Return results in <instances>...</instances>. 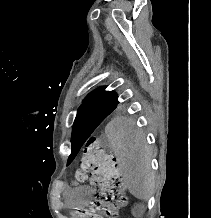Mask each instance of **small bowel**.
I'll list each match as a JSON object with an SVG mask.
<instances>
[{"mask_svg":"<svg viewBox=\"0 0 211 218\" xmlns=\"http://www.w3.org/2000/svg\"><path fill=\"white\" fill-rule=\"evenodd\" d=\"M94 191L89 186H82L77 188H66L63 196L67 205L71 207H78L88 203Z\"/></svg>","mask_w":211,"mask_h":218,"instance_id":"small-bowel-1","label":"small bowel"}]
</instances>
